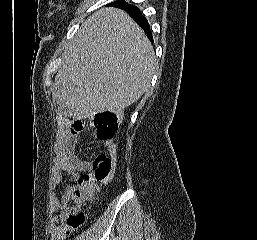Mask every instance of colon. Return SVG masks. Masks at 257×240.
Masks as SVG:
<instances>
[{
  "instance_id": "5ec220e1",
  "label": "colon",
  "mask_w": 257,
  "mask_h": 240,
  "mask_svg": "<svg viewBox=\"0 0 257 240\" xmlns=\"http://www.w3.org/2000/svg\"><path fill=\"white\" fill-rule=\"evenodd\" d=\"M119 119L112 112H98L93 117V125L100 141H107L114 137L118 129ZM67 128L75 133L84 131V123L79 120L69 122ZM114 162L110 155L99 153L91 163L90 171L82 174L72 190L62 198L61 216L64 222L71 228L81 227L86 220L80 206L83 202L93 197L100 184L107 182L113 173Z\"/></svg>"
}]
</instances>
